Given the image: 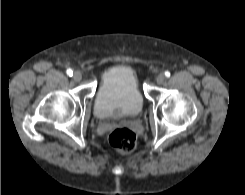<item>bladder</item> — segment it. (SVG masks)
<instances>
[{
  "label": "bladder",
  "instance_id": "1",
  "mask_svg": "<svg viewBox=\"0 0 245 195\" xmlns=\"http://www.w3.org/2000/svg\"><path fill=\"white\" fill-rule=\"evenodd\" d=\"M144 104L135 71L127 65L107 70L95 96L94 114L99 119L138 115Z\"/></svg>",
  "mask_w": 245,
  "mask_h": 195
}]
</instances>
